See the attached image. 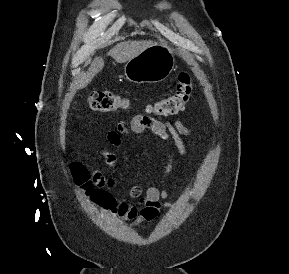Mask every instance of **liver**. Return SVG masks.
<instances>
[{
	"label": "liver",
	"mask_w": 289,
	"mask_h": 274,
	"mask_svg": "<svg viewBox=\"0 0 289 274\" xmlns=\"http://www.w3.org/2000/svg\"><path fill=\"white\" fill-rule=\"evenodd\" d=\"M152 41H124L118 43L110 51L109 55L118 63H124L137 55L142 51L153 45ZM104 67V60L101 57H96L91 63L89 69L84 73L77 81V88L86 87L97 73H99Z\"/></svg>",
	"instance_id": "obj_1"
}]
</instances>
